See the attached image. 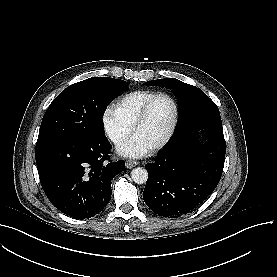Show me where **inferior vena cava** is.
<instances>
[{
  "label": "inferior vena cava",
  "instance_id": "inferior-vena-cava-1",
  "mask_svg": "<svg viewBox=\"0 0 277 277\" xmlns=\"http://www.w3.org/2000/svg\"><path fill=\"white\" fill-rule=\"evenodd\" d=\"M119 136H117V135H113L112 137H111V140L114 142V143H117L118 141H119Z\"/></svg>",
  "mask_w": 277,
  "mask_h": 277
}]
</instances>
